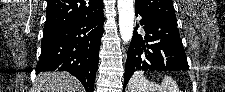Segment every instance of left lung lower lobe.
Returning a JSON list of instances; mask_svg holds the SVG:
<instances>
[{
    "label": "left lung lower lobe",
    "instance_id": "0a47b994",
    "mask_svg": "<svg viewBox=\"0 0 225 92\" xmlns=\"http://www.w3.org/2000/svg\"><path fill=\"white\" fill-rule=\"evenodd\" d=\"M135 15L143 16L140 24L143 25L145 35L142 36L135 31L132 37L127 53L124 89L137 70H188L178 26L148 18L138 11H135Z\"/></svg>",
    "mask_w": 225,
    "mask_h": 92
}]
</instances>
